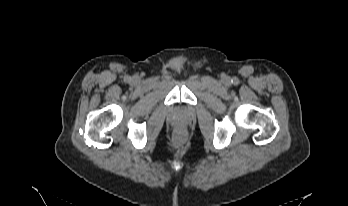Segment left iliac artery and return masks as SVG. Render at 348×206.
<instances>
[{
	"mask_svg": "<svg viewBox=\"0 0 348 206\" xmlns=\"http://www.w3.org/2000/svg\"><path fill=\"white\" fill-rule=\"evenodd\" d=\"M234 84H238V79H234Z\"/></svg>",
	"mask_w": 348,
	"mask_h": 206,
	"instance_id": "1",
	"label": "left iliac artery"
}]
</instances>
